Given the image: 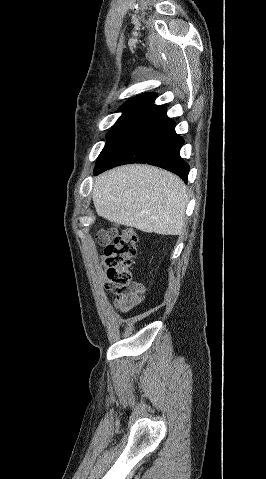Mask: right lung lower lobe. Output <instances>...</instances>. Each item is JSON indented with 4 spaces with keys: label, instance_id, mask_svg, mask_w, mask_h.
<instances>
[{
    "label": "right lung lower lobe",
    "instance_id": "obj_1",
    "mask_svg": "<svg viewBox=\"0 0 266 479\" xmlns=\"http://www.w3.org/2000/svg\"><path fill=\"white\" fill-rule=\"evenodd\" d=\"M183 144L166 108L152 104L113 137L99 155L94 172L97 175L123 164L147 163L169 170L187 183L189 165L180 157Z\"/></svg>",
    "mask_w": 266,
    "mask_h": 479
}]
</instances>
